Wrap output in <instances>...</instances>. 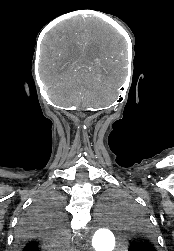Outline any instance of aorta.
Wrapping results in <instances>:
<instances>
[{"mask_svg": "<svg viewBox=\"0 0 174 251\" xmlns=\"http://www.w3.org/2000/svg\"><path fill=\"white\" fill-rule=\"evenodd\" d=\"M117 227L116 219L109 214L102 215L98 220V229L92 240L95 251H112L115 239L112 230Z\"/></svg>", "mask_w": 174, "mask_h": 251, "instance_id": "aorta-1", "label": "aorta"}]
</instances>
